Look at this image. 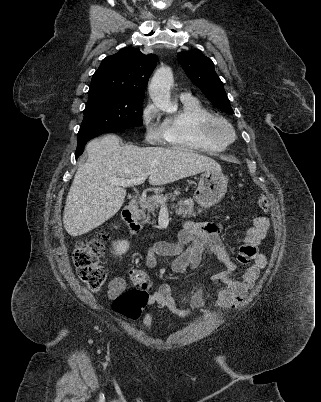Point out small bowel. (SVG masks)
<instances>
[{"instance_id":"obj_1","label":"small bowel","mask_w":321,"mask_h":402,"mask_svg":"<svg viewBox=\"0 0 321 402\" xmlns=\"http://www.w3.org/2000/svg\"><path fill=\"white\" fill-rule=\"evenodd\" d=\"M269 228L270 220L267 217L259 215L252 217L251 226L243 233V244L237 256L238 263L248 265L241 278L233 276L237 270V262L223 243L220 237L222 226L216 222H186L184 228L177 234L176 241L155 243L145 255V263L147 267L153 268L157 265L158 257L174 256L171 264L172 270L176 274H184L188 268L196 269L205 255L215 256L225 265L227 272H219L212 277L218 284L214 307L220 311L229 310L244 301L248 290L266 267L267 259L260 251V245ZM184 244L190 245L185 252L183 251ZM130 279L150 291L149 307L167 308L178 317L191 316L204 307L205 298L200 289L177 298L173 295L169 284H160L155 288L146 273L140 268H133L130 271ZM126 287L127 283L124 278L115 277L110 282L109 297L116 298ZM182 304H188L189 307L181 308ZM142 322L145 328L152 327L153 314L151 311L144 314Z\"/></svg>"}]
</instances>
